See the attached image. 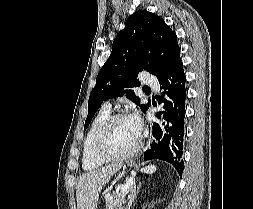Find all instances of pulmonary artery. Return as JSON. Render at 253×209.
I'll return each instance as SVG.
<instances>
[{
    "mask_svg": "<svg viewBox=\"0 0 253 209\" xmlns=\"http://www.w3.org/2000/svg\"><path fill=\"white\" fill-rule=\"evenodd\" d=\"M142 81L143 83H145L146 85H148L150 88L152 89H158L159 88V83L156 80L155 77L144 74L142 77ZM107 106H110V103L106 104Z\"/></svg>",
    "mask_w": 253,
    "mask_h": 209,
    "instance_id": "obj_1",
    "label": "pulmonary artery"
}]
</instances>
